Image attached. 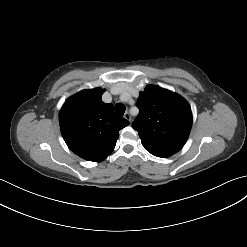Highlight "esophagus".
Masks as SVG:
<instances>
[{
  "label": "esophagus",
  "mask_w": 247,
  "mask_h": 247,
  "mask_svg": "<svg viewBox=\"0 0 247 247\" xmlns=\"http://www.w3.org/2000/svg\"><path fill=\"white\" fill-rule=\"evenodd\" d=\"M124 118L125 119H127L129 122H131V115L128 113V112H126L125 114H124Z\"/></svg>",
  "instance_id": "34e87169"
}]
</instances>
